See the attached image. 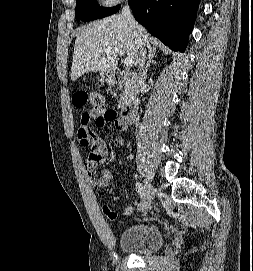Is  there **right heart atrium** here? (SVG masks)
<instances>
[{"instance_id":"obj_1","label":"right heart atrium","mask_w":253,"mask_h":271,"mask_svg":"<svg viewBox=\"0 0 253 271\" xmlns=\"http://www.w3.org/2000/svg\"><path fill=\"white\" fill-rule=\"evenodd\" d=\"M104 5L111 6L119 3L121 0H100Z\"/></svg>"}]
</instances>
